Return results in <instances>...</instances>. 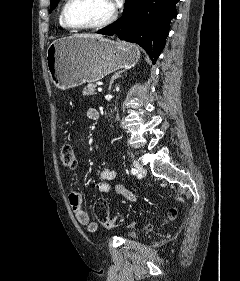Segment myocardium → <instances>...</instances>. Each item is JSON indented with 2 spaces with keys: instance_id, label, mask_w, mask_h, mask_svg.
<instances>
[{
  "instance_id": "obj_1",
  "label": "myocardium",
  "mask_w": 240,
  "mask_h": 281,
  "mask_svg": "<svg viewBox=\"0 0 240 281\" xmlns=\"http://www.w3.org/2000/svg\"><path fill=\"white\" fill-rule=\"evenodd\" d=\"M71 2H72V0H66V2L64 3V5L62 7V10H61L62 21H63L64 25L69 29L90 30V29L102 28V27H105V26L109 25L110 23H112L117 16V9L114 7L112 13L106 19H104L100 22L93 23V24H85V25L73 24L69 21V19L67 17V9Z\"/></svg>"
}]
</instances>
